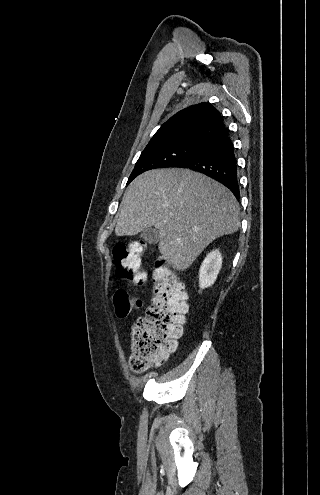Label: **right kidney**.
Masks as SVG:
<instances>
[{"instance_id":"ca27d5eb","label":"right kidney","mask_w":320,"mask_h":495,"mask_svg":"<svg viewBox=\"0 0 320 495\" xmlns=\"http://www.w3.org/2000/svg\"><path fill=\"white\" fill-rule=\"evenodd\" d=\"M221 267L222 255L219 250L216 249L208 253L199 271V286L201 289L211 287L215 283Z\"/></svg>"}]
</instances>
